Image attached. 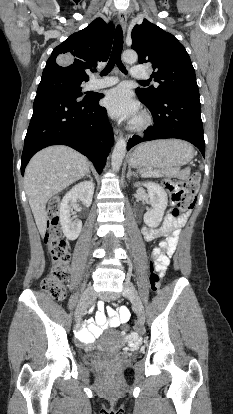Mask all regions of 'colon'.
I'll use <instances>...</instances> for the list:
<instances>
[{
    "mask_svg": "<svg viewBox=\"0 0 233 414\" xmlns=\"http://www.w3.org/2000/svg\"><path fill=\"white\" fill-rule=\"evenodd\" d=\"M200 175L194 172L186 182L175 180H165L164 186L171 194V200L176 204L172 210L174 219L185 217L195 205L196 193L199 188ZM60 204L57 199H53L48 204V224L44 236L48 253L51 257L52 266L48 276L42 282L45 293L55 300H61L65 294V285L70 278L68 262L70 259V247L63 238L59 228ZM162 252L155 248L151 253L150 262V285L153 290L159 287V277L155 272V261L161 256ZM123 331L130 333L128 326L123 327Z\"/></svg>",
    "mask_w": 233,
    "mask_h": 414,
    "instance_id": "colon-1",
    "label": "colon"
}]
</instances>
